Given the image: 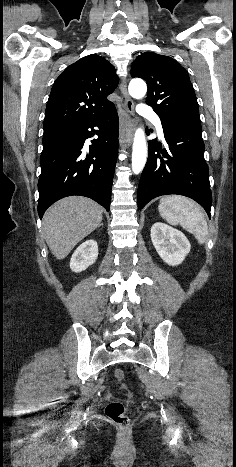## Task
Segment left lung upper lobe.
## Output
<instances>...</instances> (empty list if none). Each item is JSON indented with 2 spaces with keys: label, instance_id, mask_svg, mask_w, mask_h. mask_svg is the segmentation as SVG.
Instances as JSON below:
<instances>
[{
  "label": "left lung upper lobe",
  "instance_id": "5c2ea615",
  "mask_svg": "<svg viewBox=\"0 0 236 467\" xmlns=\"http://www.w3.org/2000/svg\"><path fill=\"white\" fill-rule=\"evenodd\" d=\"M131 76L148 85L146 103L161 120H198V103L187 71L174 59L143 53L133 62Z\"/></svg>",
  "mask_w": 236,
  "mask_h": 467
}]
</instances>
